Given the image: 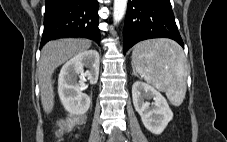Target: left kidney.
Wrapping results in <instances>:
<instances>
[{
	"label": "left kidney",
	"mask_w": 227,
	"mask_h": 142,
	"mask_svg": "<svg viewBox=\"0 0 227 142\" xmlns=\"http://www.w3.org/2000/svg\"><path fill=\"white\" fill-rule=\"evenodd\" d=\"M132 98L145 128L153 134H161L173 118V112L162 94L149 84L136 81L132 86ZM151 98L154 103L150 106L145 99Z\"/></svg>",
	"instance_id": "5707ae66"
}]
</instances>
